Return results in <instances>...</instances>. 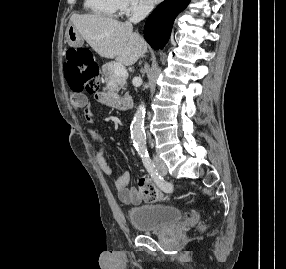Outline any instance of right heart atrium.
<instances>
[{
	"mask_svg": "<svg viewBox=\"0 0 286 269\" xmlns=\"http://www.w3.org/2000/svg\"><path fill=\"white\" fill-rule=\"evenodd\" d=\"M120 11L125 15H143L151 11L147 0H120Z\"/></svg>",
	"mask_w": 286,
	"mask_h": 269,
	"instance_id": "obj_1",
	"label": "right heart atrium"
}]
</instances>
